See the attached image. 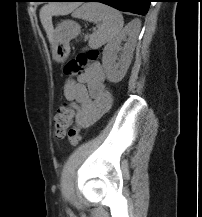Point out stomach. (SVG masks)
<instances>
[{
	"mask_svg": "<svg viewBox=\"0 0 202 217\" xmlns=\"http://www.w3.org/2000/svg\"><path fill=\"white\" fill-rule=\"evenodd\" d=\"M80 32V27L73 21H63L53 34L52 55L57 62L64 61L70 53L69 42Z\"/></svg>",
	"mask_w": 202,
	"mask_h": 217,
	"instance_id": "obj_1",
	"label": "stomach"
}]
</instances>
